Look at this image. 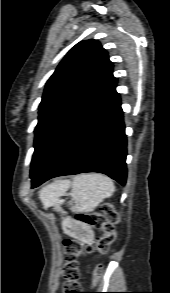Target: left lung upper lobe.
Returning a JSON list of instances; mask_svg holds the SVG:
<instances>
[{"label":"left lung upper lobe","mask_w":170,"mask_h":293,"mask_svg":"<svg viewBox=\"0 0 170 293\" xmlns=\"http://www.w3.org/2000/svg\"><path fill=\"white\" fill-rule=\"evenodd\" d=\"M113 64L97 40L76 44L46 83L35 128L31 174L43 173L116 86Z\"/></svg>","instance_id":"1"}]
</instances>
